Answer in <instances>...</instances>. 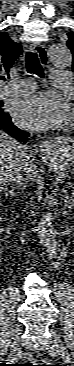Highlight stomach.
Masks as SVG:
<instances>
[{"label": "stomach", "instance_id": "obj_1", "mask_svg": "<svg viewBox=\"0 0 74 366\" xmlns=\"http://www.w3.org/2000/svg\"><path fill=\"white\" fill-rule=\"evenodd\" d=\"M59 143L61 144V146H62V147H64L65 145H66L67 147H70V146L68 145V143H67V142H65L64 140H62V141H58L57 143H55V144H54V146H55L56 148H58V147H59ZM44 156H45V153H44Z\"/></svg>", "mask_w": 74, "mask_h": 366}]
</instances>
